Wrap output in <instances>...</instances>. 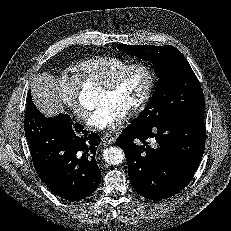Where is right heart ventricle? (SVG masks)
Returning a JSON list of instances; mask_svg holds the SVG:
<instances>
[{"instance_id":"obj_1","label":"right heart ventricle","mask_w":231,"mask_h":231,"mask_svg":"<svg viewBox=\"0 0 231 231\" xmlns=\"http://www.w3.org/2000/svg\"><path fill=\"white\" fill-rule=\"evenodd\" d=\"M129 63L127 59L121 57L97 56L77 62L72 66V71L80 82L101 85Z\"/></svg>"}]
</instances>
